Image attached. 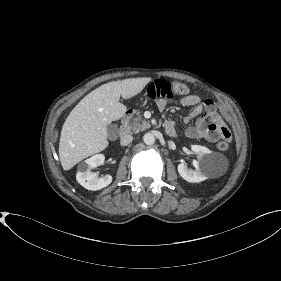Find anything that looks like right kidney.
Returning a JSON list of instances; mask_svg holds the SVG:
<instances>
[{
    "label": "right kidney",
    "mask_w": 281,
    "mask_h": 281,
    "mask_svg": "<svg viewBox=\"0 0 281 281\" xmlns=\"http://www.w3.org/2000/svg\"><path fill=\"white\" fill-rule=\"evenodd\" d=\"M104 160L105 156L103 154H96L80 163L76 174V180L78 183L84 188L93 191L107 187L112 182L111 175L98 177L97 173L91 172L93 168L102 165Z\"/></svg>",
    "instance_id": "ca27d5eb"
}]
</instances>
